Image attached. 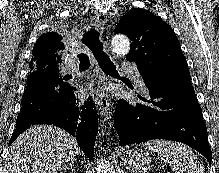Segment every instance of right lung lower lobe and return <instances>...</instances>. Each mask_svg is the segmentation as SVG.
Segmentation results:
<instances>
[{
  "mask_svg": "<svg viewBox=\"0 0 219 173\" xmlns=\"http://www.w3.org/2000/svg\"><path fill=\"white\" fill-rule=\"evenodd\" d=\"M76 88L62 76L49 71L28 74L22 107L9 145L34 124H53L76 137L77 143L91 160L98 129L93 101L80 103Z\"/></svg>",
  "mask_w": 219,
  "mask_h": 173,
  "instance_id": "obj_1",
  "label": "right lung lower lobe"
}]
</instances>
